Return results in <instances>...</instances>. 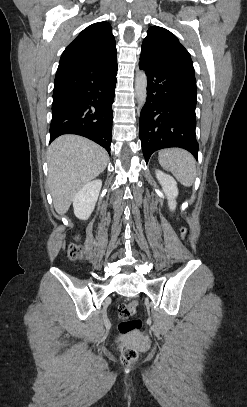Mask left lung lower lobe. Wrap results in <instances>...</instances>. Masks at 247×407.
<instances>
[{"instance_id":"left-lung-lower-lobe-1","label":"left lung lower lobe","mask_w":247,"mask_h":407,"mask_svg":"<svg viewBox=\"0 0 247 407\" xmlns=\"http://www.w3.org/2000/svg\"><path fill=\"white\" fill-rule=\"evenodd\" d=\"M147 75V99L139 120V137L146 162L168 147L188 150L197 159L195 75L158 67L140 56Z\"/></svg>"}]
</instances>
